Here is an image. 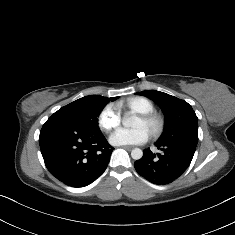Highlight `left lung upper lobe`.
Returning a JSON list of instances; mask_svg holds the SVG:
<instances>
[{"label":"left lung upper lobe","instance_id":"5c2ea615","mask_svg":"<svg viewBox=\"0 0 235 235\" xmlns=\"http://www.w3.org/2000/svg\"><path fill=\"white\" fill-rule=\"evenodd\" d=\"M138 94L157 103L165 115L164 130L157 142H182L197 146L198 118L190 104L156 90L142 91Z\"/></svg>","mask_w":235,"mask_h":235}]
</instances>
